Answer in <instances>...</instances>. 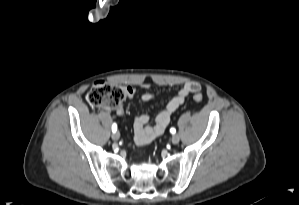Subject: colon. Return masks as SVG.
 Segmentation results:
<instances>
[{
	"mask_svg": "<svg viewBox=\"0 0 299 205\" xmlns=\"http://www.w3.org/2000/svg\"><path fill=\"white\" fill-rule=\"evenodd\" d=\"M125 97V87L100 80L92 85L88 92L87 100L92 107L114 109L121 106ZM193 99L197 103H201L203 96L196 92L193 95Z\"/></svg>",
	"mask_w": 299,
	"mask_h": 205,
	"instance_id": "colon-1",
	"label": "colon"
}]
</instances>
